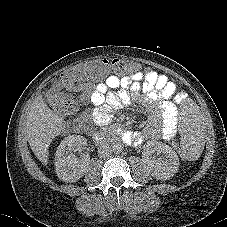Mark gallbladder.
Here are the masks:
<instances>
[{"instance_id": "1", "label": "gallbladder", "mask_w": 227, "mask_h": 227, "mask_svg": "<svg viewBox=\"0 0 227 227\" xmlns=\"http://www.w3.org/2000/svg\"><path fill=\"white\" fill-rule=\"evenodd\" d=\"M54 87L57 88L59 90V86L57 85V82H54Z\"/></svg>"}]
</instances>
